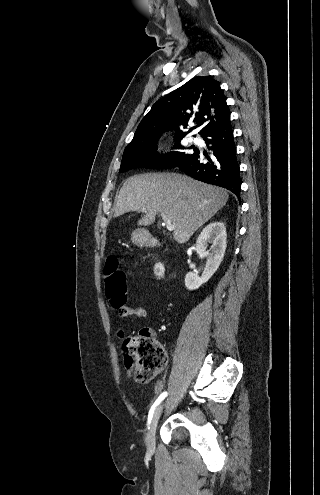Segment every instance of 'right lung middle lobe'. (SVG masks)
<instances>
[{"mask_svg":"<svg viewBox=\"0 0 320 495\" xmlns=\"http://www.w3.org/2000/svg\"><path fill=\"white\" fill-rule=\"evenodd\" d=\"M180 141H176V151L167 154L156 153V144H144L125 150L122 157L120 172L135 168L170 169L187 160L192 154H187Z\"/></svg>","mask_w":320,"mask_h":495,"instance_id":"obj_1","label":"right lung middle lobe"}]
</instances>
